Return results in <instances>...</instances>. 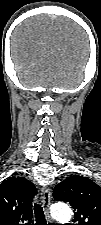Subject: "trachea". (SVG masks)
<instances>
[{
    "instance_id": "obj_1",
    "label": "trachea",
    "mask_w": 101,
    "mask_h": 225,
    "mask_svg": "<svg viewBox=\"0 0 101 225\" xmlns=\"http://www.w3.org/2000/svg\"><path fill=\"white\" fill-rule=\"evenodd\" d=\"M34 213L36 218V225H47L43 208L40 204L35 203Z\"/></svg>"
}]
</instances>
